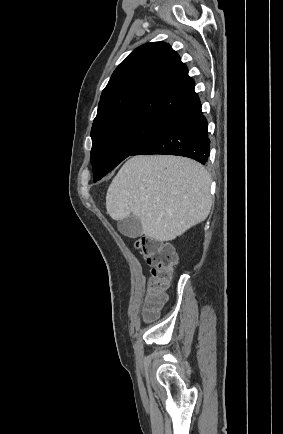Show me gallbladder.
<instances>
[{
    "mask_svg": "<svg viewBox=\"0 0 283 434\" xmlns=\"http://www.w3.org/2000/svg\"><path fill=\"white\" fill-rule=\"evenodd\" d=\"M117 226L119 231L129 238H136L143 234L140 220L133 215L119 221Z\"/></svg>",
    "mask_w": 283,
    "mask_h": 434,
    "instance_id": "obj_1",
    "label": "gallbladder"
}]
</instances>
